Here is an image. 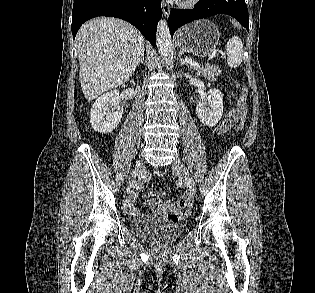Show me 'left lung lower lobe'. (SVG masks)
Masks as SVG:
<instances>
[{
  "label": "left lung lower lobe",
  "mask_w": 315,
  "mask_h": 293,
  "mask_svg": "<svg viewBox=\"0 0 315 293\" xmlns=\"http://www.w3.org/2000/svg\"><path fill=\"white\" fill-rule=\"evenodd\" d=\"M216 14H227L236 18L246 29H249V16L245 0H199L193 9H171L169 30L174 32L189 22L210 17Z\"/></svg>",
  "instance_id": "1"
}]
</instances>
